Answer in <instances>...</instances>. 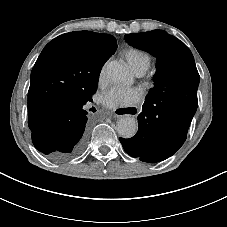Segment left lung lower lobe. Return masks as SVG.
I'll list each match as a JSON object with an SVG mask.
<instances>
[{
	"mask_svg": "<svg viewBox=\"0 0 227 227\" xmlns=\"http://www.w3.org/2000/svg\"><path fill=\"white\" fill-rule=\"evenodd\" d=\"M199 79L198 71L185 74L182 81L145 100L136 135L119 138L130 156L155 163L169 158L183 145L198 105Z\"/></svg>",
	"mask_w": 227,
	"mask_h": 227,
	"instance_id": "1",
	"label": "left lung lower lobe"
}]
</instances>
